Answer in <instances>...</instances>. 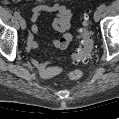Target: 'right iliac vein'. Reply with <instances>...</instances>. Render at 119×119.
Returning a JSON list of instances; mask_svg holds the SVG:
<instances>
[{"instance_id": "obj_1", "label": "right iliac vein", "mask_w": 119, "mask_h": 119, "mask_svg": "<svg viewBox=\"0 0 119 119\" xmlns=\"http://www.w3.org/2000/svg\"><path fill=\"white\" fill-rule=\"evenodd\" d=\"M20 26L24 30L26 28V21L24 18L20 17L19 18Z\"/></svg>"}]
</instances>
